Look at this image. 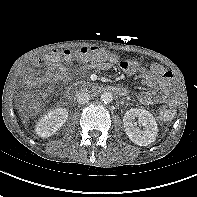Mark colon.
Returning <instances> with one entry per match:
<instances>
[{
    "label": "colon",
    "instance_id": "5ec220e1",
    "mask_svg": "<svg viewBox=\"0 0 197 197\" xmlns=\"http://www.w3.org/2000/svg\"><path fill=\"white\" fill-rule=\"evenodd\" d=\"M74 58L84 61V62H98L104 63L106 61H111L114 56L108 51L101 48H86L82 47L76 50L65 49L62 52L54 51L48 56V60L51 62L66 61L70 62ZM129 66V61H122L121 67L127 68ZM174 111L169 106H164L160 110V118L163 121H169L173 118Z\"/></svg>",
    "mask_w": 197,
    "mask_h": 197
}]
</instances>
